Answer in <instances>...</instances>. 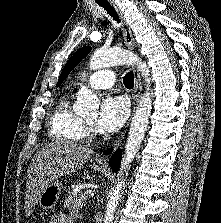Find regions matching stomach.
Here are the masks:
<instances>
[{"label":"stomach","instance_id":"1","mask_svg":"<svg viewBox=\"0 0 221 223\" xmlns=\"http://www.w3.org/2000/svg\"><path fill=\"white\" fill-rule=\"evenodd\" d=\"M92 167L95 172H103L105 169L104 165L96 163H93ZM62 187L61 183H50L38 197L40 206L46 210L55 207L59 200Z\"/></svg>","mask_w":221,"mask_h":223}]
</instances>
